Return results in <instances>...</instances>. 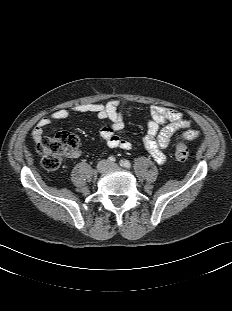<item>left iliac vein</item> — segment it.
Listing matches in <instances>:
<instances>
[{"label": "left iliac vein", "mask_w": 232, "mask_h": 311, "mask_svg": "<svg viewBox=\"0 0 232 311\" xmlns=\"http://www.w3.org/2000/svg\"><path fill=\"white\" fill-rule=\"evenodd\" d=\"M118 168H119V165L116 163L109 164V169H118Z\"/></svg>", "instance_id": "obj_1"}]
</instances>
